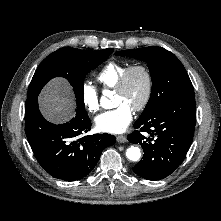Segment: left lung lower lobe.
I'll use <instances>...</instances> for the list:
<instances>
[{
  "label": "left lung lower lobe",
  "instance_id": "left-lung-lower-lobe-1",
  "mask_svg": "<svg viewBox=\"0 0 221 221\" xmlns=\"http://www.w3.org/2000/svg\"><path fill=\"white\" fill-rule=\"evenodd\" d=\"M195 122V98L173 101L155 108L144 118H138L134 123L137 130L127 139L131 143H139L144 156L133 171L153 181L173 173L191 146ZM142 132H146L147 137Z\"/></svg>",
  "mask_w": 221,
  "mask_h": 221
}]
</instances>
